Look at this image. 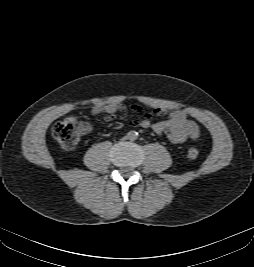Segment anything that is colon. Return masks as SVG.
Instances as JSON below:
<instances>
[{"mask_svg": "<svg viewBox=\"0 0 254 267\" xmlns=\"http://www.w3.org/2000/svg\"><path fill=\"white\" fill-rule=\"evenodd\" d=\"M87 127L85 122L75 117H68L53 125L52 136L64 150L71 151L78 145ZM187 155L190 159H196L199 151L197 148L191 147L188 149Z\"/></svg>", "mask_w": 254, "mask_h": 267, "instance_id": "5ec220e1", "label": "colon"}]
</instances>
